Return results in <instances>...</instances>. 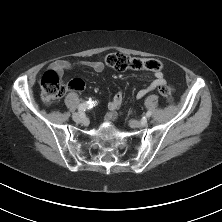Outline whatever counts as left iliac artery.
<instances>
[{"label":"left iliac artery","instance_id":"44dca946","mask_svg":"<svg viewBox=\"0 0 222 222\" xmlns=\"http://www.w3.org/2000/svg\"><path fill=\"white\" fill-rule=\"evenodd\" d=\"M151 111H148L147 113H146V117H150L151 116Z\"/></svg>","mask_w":222,"mask_h":222}]
</instances>
